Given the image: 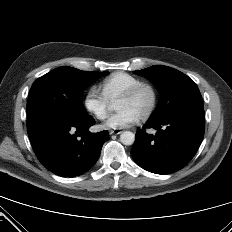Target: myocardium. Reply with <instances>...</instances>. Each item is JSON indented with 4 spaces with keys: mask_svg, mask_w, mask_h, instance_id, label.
Listing matches in <instances>:
<instances>
[{
    "mask_svg": "<svg viewBox=\"0 0 232 232\" xmlns=\"http://www.w3.org/2000/svg\"><path fill=\"white\" fill-rule=\"evenodd\" d=\"M143 89H148L150 91V93H151V102H150L148 108L140 116L141 119H146V118H148L149 116L152 115V113L155 111V109L157 107V103H158V91H157L156 87L152 83L142 81V82L134 85L133 87L128 89L126 92H124L122 95H120L117 98V101L133 99Z\"/></svg>",
    "mask_w": 232,
    "mask_h": 232,
    "instance_id": "f54148a6",
    "label": "myocardium"
}]
</instances>
